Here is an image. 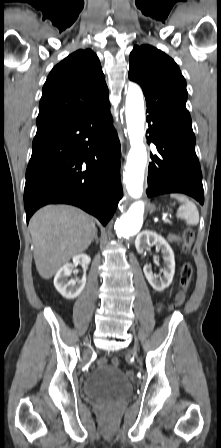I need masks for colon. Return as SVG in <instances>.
Instances as JSON below:
<instances>
[{"label":"colon","mask_w":221,"mask_h":448,"mask_svg":"<svg viewBox=\"0 0 221 448\" xmlns=\"http://www.w3.org/2000/svg\"><path fill=\"white\" fill-rule=\"evenodd\" d=\"M194 240V232L191 229H187L182 236V243H183V251L185 253H188L190 251V247L192 245V242ZM192 274H193V266L191 263L186 262L183 264L182 268H181V278H180V284H179V290L176 293L170 308L171 309H176L178 308L181 303H182V294L183 292L186 290V288L189 286L190 282H191V278H192ZM107 360L105 358H100L98 360V364L99 365H106ZM120 363L119 359L117 357L112 359V364L114 366H118ZM126 375L128 377L132 376V372L131 371H127Z\"/></svg>","instance_id":"5ec220e1"}]
</instances>
